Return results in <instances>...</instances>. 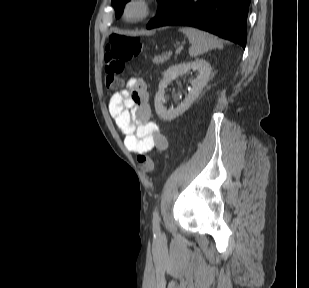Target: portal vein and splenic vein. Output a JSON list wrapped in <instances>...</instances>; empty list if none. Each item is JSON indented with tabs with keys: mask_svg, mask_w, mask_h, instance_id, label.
Instances as JSON below:
<instances>
[{
	"mask_svg": "<svg viewBox=\"0 0 309 288\" xmlns=\"http://www.w3.org/2000/svg\"><path fill=\"white\" fill-rule=\"evenodd\" d=\"M172 54H173V52H172L171 50H169V51L167 52L168 57H170Z\"/></svg>",
	"mask_w": 309,
	"mask_h": 288,
	"instance_id": "obj_1",
	"label": "portal vein and splenic vein"
}]
</instances>
